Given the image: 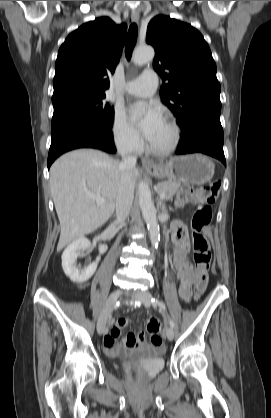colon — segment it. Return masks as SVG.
Returning a JSON list of instances; mask_svg holds the SVG:
<instances>
[{
    "label": "colon",
    "instance_id": "obj_1",
    "mask_svg": "<svg viewBox=\"0 0 271 418\" xmlns=\"http://www.w3.org/2000/svg\"><path fill=\"white\" fill-rule=\"evenodd\" d=\"M219 189L220 183L212 182L200 188L183 187L177 195V204L180 207L199 203L191 222L196 276L194 293L196 298L203 294L208 283L211 251L204 231L211 223L212 205L218 197ZM159 327V323L155 319L148 320L147 330L151 333L150 341L154 344L161 343V338L157 335Z\"/></svg>",
    "mask_w": 271,
    "mask_h": 418
}]
</instances>
